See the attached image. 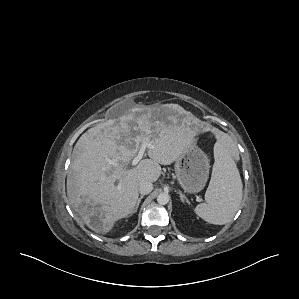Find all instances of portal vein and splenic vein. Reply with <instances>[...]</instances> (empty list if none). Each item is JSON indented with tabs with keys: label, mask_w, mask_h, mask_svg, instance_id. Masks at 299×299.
<instances>
[{
	"label": "portal vein and splenic vein",
	"mask_w": 299,
	"mask_h": 299,
	"mask_svg": "<svg viewBox=\"0 0 299 299\" xmlns=\"http://www.w3.org/2000/svg\"><path fill=\"white\" fill-rule=\"evenodd\" d=\"M150 147H151V145L149 143L142 142L138 154L132 160V165H137L138 162L142 159L146 148H150ZM109 163L112 164V165H114V166L118 165V162L117 161H113V160H110Z\"/></svg>",
	"instance_id": "portal-vein-and-splenic-vein-1"
}]
</instances>
